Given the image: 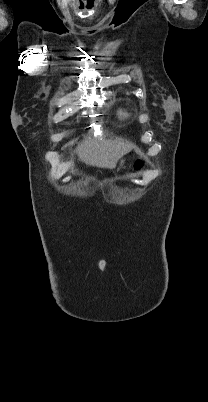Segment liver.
Returning <instances> with one entry per match:
<instances>
[{
    "label": "liver",
    "mask_w": 208,
    "mask_h": 402,
    "mask_svg": "<svg viewBox=\"0 0 208 402\" xmlns=\"http://www.w3.org/2000/svg\"><path fill=\"white\" fill-rule=\"evenodd\" d=\"M133 150L131 142H122V140H86L78 146L76 152L80 162L88 166H97V168H109L113 170L118 160Z\"/></svg>",
    "instance_id": "liver-1"
}]
</instances>
